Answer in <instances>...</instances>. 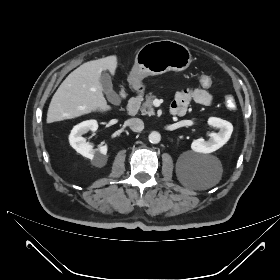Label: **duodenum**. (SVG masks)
I'll use <instances>...</instances> for the list:
<instances>
[{
  "label": "duodenum",
  "instance_id": "obj_1",
  "mask_svg": "<svg viewBox=\"0 0 280 280\" xmlns=\"http://www.w3.org/2000/svg\"><path fill=\"white\" fill-rule=\"evenodd\" d=\"M143 99V91L138 89L134 96L129 100L127 111L129 115L134 116L140 109L141 102ZM170 113L172 115H178V110L173 108L171 109Z\"/></svg>",
  "mask_w": 280,
  "mask_h": 280
}]
</instances>
